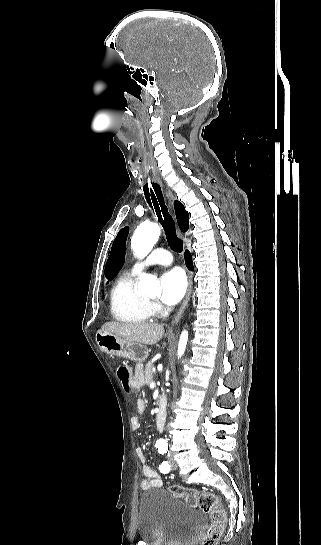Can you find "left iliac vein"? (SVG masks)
Returning a JSON list of instances; mask_svg holds the SVG:
<instances>
[{
	"label": "left iliac vein",
	"instance_id": "left-iliac-vein-1",
	"mask_svg": "<svg viewBox=\"0 0 321 545\" xmlns=\"http://www.w3.org/2000/svg\"><path fill=\"white\" fill-rule=\"evenodd\" d=\"M168 461L170 463L171 469L176 470L178 465H177L176 461H174L173 457L170 454H168Z\"/></svg>",
	"mask_w": 321,
	"mask_h": 545
}]
</instances>
